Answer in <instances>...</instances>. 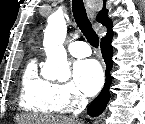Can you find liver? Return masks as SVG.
Here are the masks:
<instances>
[{"instance_id":"6515ba94","label":"liver","mask_w":145,"mask_h":124,"mask_svg":"<svg viewBox=\"0 0 145 124\" xmlns=\"http://www.w3.org/2000/svg\"><path fill=\"white\" fill-rule=\"evenodd\" d=\"M16 122L17 124H74L72 120L65 117L28 114L17 116Z\"/></svg>"}]
</instances>
